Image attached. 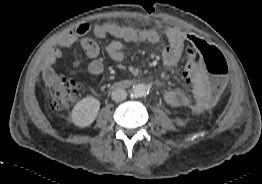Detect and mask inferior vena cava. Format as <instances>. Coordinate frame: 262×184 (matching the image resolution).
<instances>
[{
  "label": "inferior vena cava",
  "mask_w": 262,
  "mask_h": 184,
  "mask_svg": "<svg viewBox=\"0 0 262 184\" xmlns=\"http://www.w3.org/2000/svg\"><path fill=\"white\" fill-rule=\"evenodd\" d=\"M111 97L114 101L119 102L126 99L127 92L124 89L118 88L112 92Z\"/></svg>",
  "instance_id": "obj_1"
}]
</instances>
